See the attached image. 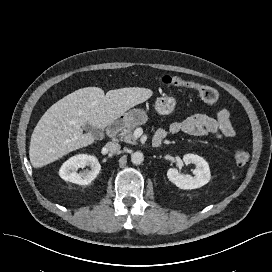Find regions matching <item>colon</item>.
I'll return each instance as SVG.
<instances>
[{"instance_id": "obj_1", "label": "colon", "mask_w": 272, "mask_h": 272, "mask_svg": "<svg viewBox=\"0 0 272 272\" xmlns=\"http://www.w3.org/2000/svg\"><path fill=\"white\" fill-rule=\"evenodd\" d=\"M161 83L171 88H186L195 91L198 96L208 104H215L219 99L218 92L215 88L207 85H201L190 81H185L177 77L163 76ZM249 154L242 149L233 153V160L236 165L243 166L248 162Z\"/></svg>"}]
</instances>
